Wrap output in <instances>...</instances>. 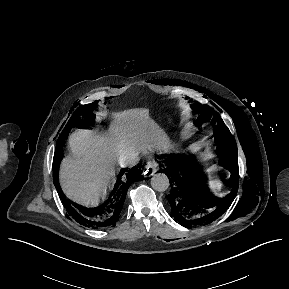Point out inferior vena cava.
Returning <instances> with one entry per match:
<instances>
[{
    "mask_svg": "<svg viewBox=\"0 0 289 289\" xmlns=\"http://www.w3.org/2000/svg\"><path fill=\"white\" fill-rule=\"evenodd\" d=\"M136 164H137V161H136L135 159L129 160V165H130V166H134V165H136Z\"/></svg>",
    "mask_w": 289,
    "mask_h": 289,
    "instance_id": "inferior-vena-cava-1",
    "label": "inferior vena cava"
}]
</instances>
